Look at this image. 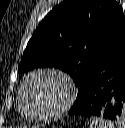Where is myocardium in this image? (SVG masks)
Segmentation results:
<instances>
[{
  "instance_id": "obj_1",
  "label": "myocardium",
  "mask_w": 125,
  "mask_h": 128,
  "mask_svg": "<svg viewBox=\"0 0 125 128\" xmlns=\"http://www.w3.org/2000/svg\"><path fill=\"white\" fill-rule=\"evenodd\" d=\"M39 75H51L63 81L67 90L66 97L62 102V104L51 112L43 113V114H31L25 109L24 93L26 88L32 81V79ZM75 97H76V87L73 79L67 73L55 68H38L28 74V76L26 77V79L24 80L23 84L20 87L19 109L21 114L25 116L27 119L33 121H50L59 118L63 113H65L72 106Z\"/></svg>"
}]
</instances>
